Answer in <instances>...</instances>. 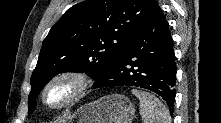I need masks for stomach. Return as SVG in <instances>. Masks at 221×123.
Wrapping results in <instances>:
<instances>
[{
  "instance_id": "1",
  "label": "stomach",
  "mask_w": 221,
  "mask_h": 123,
  "mask_svg": "<svg viewBox=\"0 0 221 123\" xmlns=\"http://www.w3.org/2000/svg\"><path fill=\"white\" fill-rule=\"evenodd\" d=\"M134 115L135 107L126 96L110 94L80 106L67 123H132Z\"/></svg>"
}]
</instances>
